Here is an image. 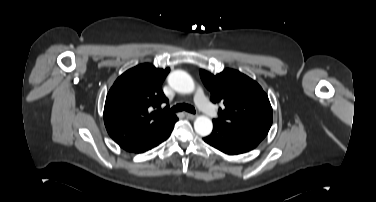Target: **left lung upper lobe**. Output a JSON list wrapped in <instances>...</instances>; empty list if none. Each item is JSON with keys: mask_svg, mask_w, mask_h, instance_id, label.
Here are the masks:
<instances>
[{"mask_svg": "<svg viewBox=\"0 0 376 202\" xmlns=\"http://www.w3.org/2000/svg\"><path fill=\"white\" fill-rule=\"evenodd\" d=\"M213 103L222 102L219 118L214 122L264 139L272 125V107L261 86L248 76L232 69L213 75L200 70Z\"/></svg>", "mask_w": 376, "mask_h": 202, "instance_id": "5c2ea615", "label": "left lung upper lobe"}]
</instances>
